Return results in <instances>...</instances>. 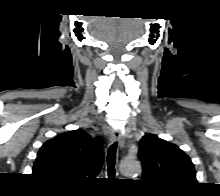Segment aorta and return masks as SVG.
<instances>
[{
    "label": "aorta",
    "instance_id": "obj_1",
    "mask_svg": "<svg viewBox=\"0 0 220 196\" xmlns=\"http://www.w3.org/2000/svg\"><path fill=\"white\" fill-rule=\"evenodd\" d=\"M120 171L125 176H131L141 171L140 163L133 159H124L120 163Z\"/></svg>",
    "mask_w": 220,
    "mask_h": 196
}]
</instances>
